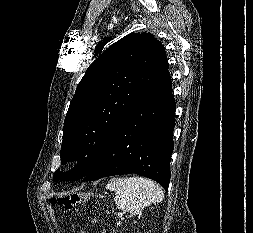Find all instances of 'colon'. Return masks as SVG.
<instances>
[{
    "label": "colon",
    "instance_id": "1",
    "mask_svg": "<svg viewBox=\"0 0 253 233\" xmlns=\"http://www.w3.org/2000/svg\"><path fill=\"white\" fill-rule=\"evenodd\" d=\"M90 198L89 194L84 193H73L64 196H57L51 198V203L64 210H71L80 202Z\"/></svg>",
    "mask_w": 253,
    "mask_h": 233
}]
</instances>
